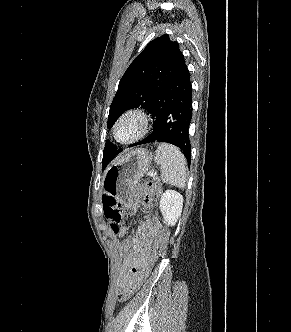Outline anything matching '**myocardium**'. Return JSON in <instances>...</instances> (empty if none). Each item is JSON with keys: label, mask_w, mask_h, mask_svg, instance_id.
<instances>
[{"label": "myocardium", "mask_w": 291, "mask_h": 332, "mask_svg": "<svg viewBox=\"0 0 291 332\" xmlns=\"http://www.w3.org/2000/svg\"><path fill=\"white\" fill-rule=\"evenodd\" d=\"M127 118L138 119V121L140 123V129L134 137H132L129 140L122 141V140H119L117 137V130H118L119 125ZM150 128H151V120H150V116L148 115V113L142 108H132V109L126 110L117 119V121L114 125V128H113V137L117 142H119L121 144H132V143H135V142L139 141L140 139H142L149 132Z\"/></svg>", "instance_id": "f54148a6"}]
</instances>
